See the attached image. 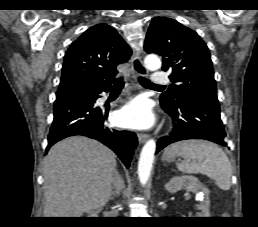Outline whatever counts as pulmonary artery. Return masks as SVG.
Here are the masks:
<instances>
[{"instance_id":"e3ab8cb5","label":"pulmonary artery","mask_w":258,"mask_h":227,"mask_svg":"<svg viewBox=\"0 0 258 227\" xmlns=\"http://www.w3.org/2000/svg\"><path fill=\"white\" fill-rule=\"evenodd\" d=\"M169 82L170 80L165 73L155 72L152 75V83L155 85H164Z\"/></svg>"}]
</instances>
